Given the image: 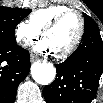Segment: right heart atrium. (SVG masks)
I'll return each mask as SVG.
<instances>
[{
	"label": "right heart atrium",
	"instance_id": "1",
	"mask_svg": "<svg viewBox=\"0 0 103 103\" xmlns=\"http://www.w3.org/2000/svg\"><path fill=\"white\" fill-rule=\"evenodd\" d=\"M39 32L30 22L20 21L16 24L14 34L16 42L22 46H27L38 35Z\"/></svg>",
	"mask_w": 103,
	"mask_h": 103
}]
</instances>
